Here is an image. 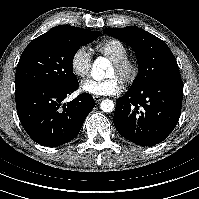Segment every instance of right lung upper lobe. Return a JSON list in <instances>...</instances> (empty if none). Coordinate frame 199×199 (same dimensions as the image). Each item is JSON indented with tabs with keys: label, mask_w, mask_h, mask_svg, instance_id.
<instances>
[{
	"label": "right lung upper lobe",
	"mask_w": 199,
	"mask_h": 199,
	"mask_svg": "<svg viewBox=\"0 0 199 199\" xmlns=\"http://www.w3.org/2000/svg\"><path fill=\"white\" fill-rule=\"evenodd\" d=\"M72 28H76L73 26H69V25H60V26H56L53 29L54 30H68V29H72Z\"/></svg>",
	"instance_id": "cb5924a9"
}]
</instances>
